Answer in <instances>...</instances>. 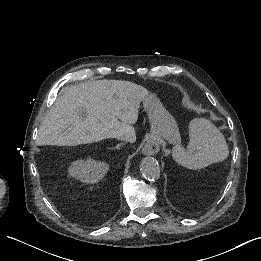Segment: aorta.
I'll return each mask as SVG.
<instances>
[{
  "instance_id": "obj_1",
  "label": "aorta",
  "mask_w": 261,
  "mask_h": 261,
  "mask_svg": "<svg viewBox=\"0 0 261 261\" xmlns=\"http://www.w3.org/2000/svg\"><path fill=\"white\" fill-rule=\"evenodd\" d=\"M140 171L144 178L149 181H156L160 178V166L156 159L145 157L140 163Z\"/></svg>"
}]
</instances>
